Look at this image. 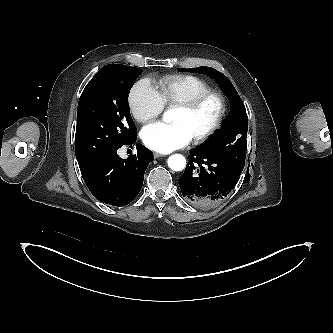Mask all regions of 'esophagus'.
<instances>
[{"mask_svg": "<svg viewBox=\"0 0 333 333\" xmlns=\"http://www.w3.org/2000/svg\"><path fill=\"white\" fill-rule=\"evenodd\" d=\"M164 155H162V154H160V153H158V152H155L154 153V157L155 158H160V157H163Z\"/></svg>", "mask_w": 333, "mask_h": 333, "instance_id": "34e87169", "label": "esophagus"}]
</instances>
